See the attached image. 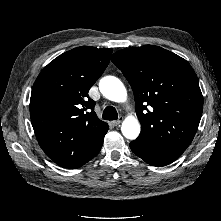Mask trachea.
<instances>
[{
	"label": "trachea",
	"instance_id": "obj_1",
	"mask_svg": "<svg viewBox=\"0 0 221 221\" xmlns=\"http://www.w3.org/2000/svg\"><path fill=\"white\" fill-rule=\"evenodd\" d=\"M103 119L105 120H116L118 113L113 106H107L103 111Z\"/></svg>",
	"mask_w": 221,
	"mask_h": 221
}]
</instances>
